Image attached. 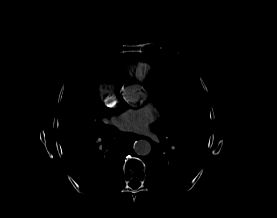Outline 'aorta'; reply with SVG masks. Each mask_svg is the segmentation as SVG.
I'll list each match as a JSON object with an SVG mask.
<instances>
[{
  "label": "aorta",
  "instance_id": "aorta-1",
  "mask_svg": "<svg viewBox=\"0 0 277 218\" xmlns=\"http://www.w3.org/2000/svg\"><path fill=\"white\" fill-rule=\"evenodd\" d=\"M125 100L128 103H137L141 100L139 92L127 88L125 90ZM134 151L138 156H147L151 152V144L147 140H138L133 145Z\"/></svg>",
  "mask_w": 277,
  "mask_h": 218
}]
</instances>
